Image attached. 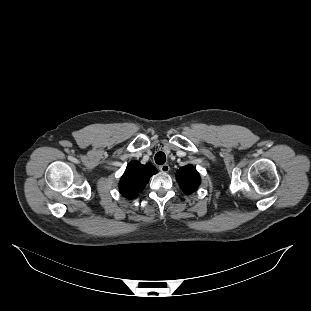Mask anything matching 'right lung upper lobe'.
Returning <instances> with one entry per match:
<instances>
[{"label":"right lung upper lobe","mask_w":311,"mask_h":311,"mask_svg":"<svg viewBox=\"0 0 311 311\" xmlns=\"http://www.w3.org/2000/svg\"><path fill=\"white\" fill-rule=\"evenodd\" d=\"M157 172L152 164L142 165L138 161L130 162L119 183L120 193L127 199L136 198L145 188L150 177Z\"/></svg>","instance_id":"1"}]
</instances>
